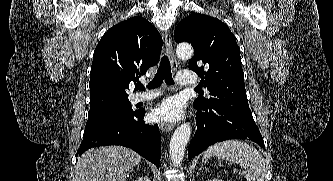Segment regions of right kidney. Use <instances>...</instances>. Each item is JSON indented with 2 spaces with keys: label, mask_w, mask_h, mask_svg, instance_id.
<instances>
[{
  "label": "right kidney",
  "mask_w": 333,
  "mask_h": 181,
  "mask_svg": "<svg viewBox=\"0 0 333 181\" xmlns=\"http://www.w3.org/2000/svg\"><path fill=\"white\" fill-rule=\"evenodd\" d=\"M136 181H150L148 176H141Z\"/></svg>",
  "instance_id": "right-kidney-1"
}]
</instances>
